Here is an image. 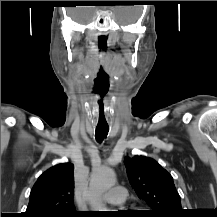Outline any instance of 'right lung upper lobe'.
<instances>
[{"mask_svg":"<svg viewBox=\"0 0 217 217\" xmlns=\"http://www.w3.org/2000/svg\"><path fill=\"white\" fill-rule=\"evenodd\" d=\"M73 165L61 163L45 171L30 193L25 217L77 215L73 203Z\"/></svg>","mask_w":217,"mask_h":217,"instance_id":"cb5924a9","label":"right lung upper lobe"}]
</instances>
